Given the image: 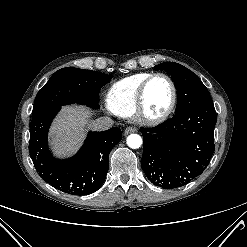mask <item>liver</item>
I'll list each match as a JSON object with an SVG mask.
<instances>
[{
  "mask_svg": "<svg viewBox=\"0 0 247 247\" xmlns=\"http://www.w3.org/2000/svg\"><path fill=\"white\" fill-rule=\"evenodd\" d=\"M91 114L88 108L82 106L62 109L49 133V141L56 155L67 156L78 150Z\"/></svg>",
  "mask_w": 247,
  "mask_h": 247,
  "instance_id": "obj_1",
  "label": "liver"
}]
</instances>
